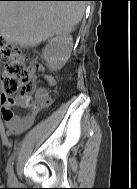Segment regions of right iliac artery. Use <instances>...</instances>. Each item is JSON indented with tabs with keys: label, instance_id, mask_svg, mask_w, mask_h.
<instances>
[{
	"label": "right iliac artery",
	"instance_id": "1",
	"mask_svg": "<svg viewBox=\"0 0 137 189\" xmlns=\"http://www.w3.org/2000/svg\"><path fill=\"white\" fill-rule=\"evenodd\" d=\"M13 164H14V156H11L8 164H7V168L6 171L8 173V182L9 183H13L14 182V173H13Z\"/></svg>",
	"mask_w": 137,
	"mask_h": 189
}]
</instances>
